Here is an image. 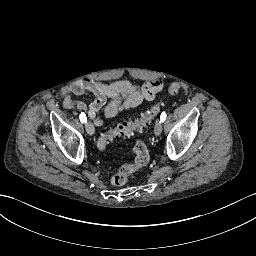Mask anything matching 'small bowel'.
Here are the masks:
<instances>
[{"label":"small bowel","mask_w":256,"mask_h":256,"mask_svg":"<svg viewBox=\"0 0 256 256\" xmlns=\"http://www.w3.org/2000/svg\"><path fill=\"white\" fill-rule=\"evenodd\" d=\"M163 89V83L151 80L142 85L132 84L127 80H119L108 84L85 79L76 82L61 92L63 107L67 110L85 112L96 126H102L104 121L99 116L101 112L105 118H113L124 109L136 108L143 101H152ZM90 92L95 96L88 105L86 102L74 99L73 95ZM110 99L109 102L107 100Z\"/></svg>","instance_id":"c3829d8e"}]
</instances>
